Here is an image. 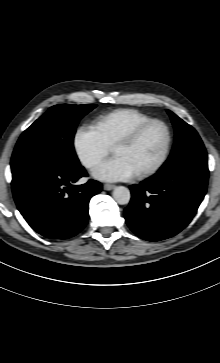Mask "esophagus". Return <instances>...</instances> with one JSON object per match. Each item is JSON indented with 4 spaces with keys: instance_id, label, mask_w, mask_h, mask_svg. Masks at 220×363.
<instances>
[{
    "instance_id": "esophagus-1",
    "label": "esophagus",
    "mask_w": 220,
    "mask_h": 363,
    "mask_svg": "<svg viewBox=\"0 0 220 363\" xmlns=\"http://www.w3.org/2000/svg\"><path fill=\"white\" fill-rule=\"evenodd\" d=\"M116 186L113 184H104L103 188L104 190L110 191L113 190Z\"/></svg>"
}]
</instances>
